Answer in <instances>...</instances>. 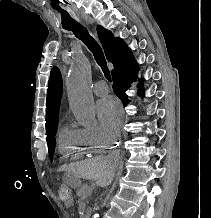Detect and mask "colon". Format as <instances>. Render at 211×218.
I'll use <instances>...</instances> for the list:
<instances>
[{"mask_svg": "<svg viewBox=\"0 0 211 218\" xmlns=\"http://www.w3.org/2000/svg\"><path fill=\"white\" fill-rule=\"evenodd\" d=\"M58 195H59V198L65 202L71 200L72 198L71 189L69 188V186L65 184H61L58 187Z\"/></svg>", "mask_w": 211, "mask_h": 218, "instance_id": "obj_1", "label": "colon"}]
</instances>
